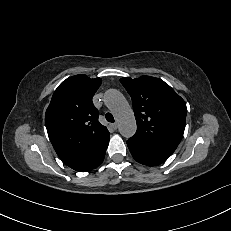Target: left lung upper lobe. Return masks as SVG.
<instances>
[{"label":"left lung upper lobe","mask_w":231,"mask_h":231,"mask_svg":"<svg viewBox=\"0 0 231 231\" xmlns=\"http://www.w3.org/2000/svg\"><path fill=\"white\" fill-rule=\"evenodd\" d=\"M132 98L137 131L130 139L153 150L173 153L180 143L187 108L163 80L151 76L121 78Z\"/></svg>","instance_id":"left-lung-upper-lobe-1"}]
</instances>
